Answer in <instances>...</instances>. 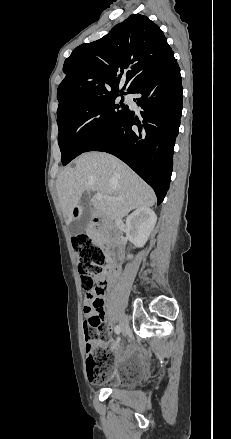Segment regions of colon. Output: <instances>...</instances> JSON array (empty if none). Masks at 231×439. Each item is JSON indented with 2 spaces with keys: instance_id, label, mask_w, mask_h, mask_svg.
Returning <instances> with one entry per match:
<instances>
[{
  "instance_id": "5ec220e1",
  "label": "colon",
  "mask_w": 231,
  "mask_h": 439,
  "mask_svg": "<svg viewBox=\"0 0 231 439\" xmlns=\"http://www.w3.org/2000/svg\"><path fill=\"white\" fill-rule=\"evenodd\" d=\"M71 240L77 256L78 272L83 290L87 293L100 294L105 292L109 276L105 252L102 248L94 245L87 234L74 235ZM93 305L96 309L102 307L99 301H95ZM85 338L87 342L86 364L89 376L95 382H104L109 378L114 359L113 344L106 340L105 331L96 324L95 320H92L85 328Z\"/></svg>"
}]
</instances>
